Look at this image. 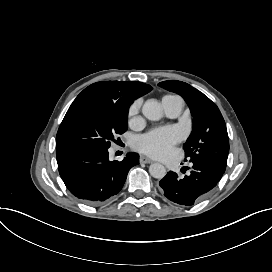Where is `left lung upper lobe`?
Instances as JSON below:
<instances>
[{"mask_svg":"<svg viewBox=\"0 0 272 272\" xmlns=\"http://www.w3.org/2000/svg\"><path fill=\"white\" fill-rule=\"evenodd\" d=\"M160 87L177 93L187 102L193 115V131L183 148L191 162H201L225 172L229 139L225 121L218 107L189 84L163 81Z\"/></svg>","mask_w":272,"mask_h":272,"instance_id":"obj_1","label":"left lung upper lobe"}]
</instances>
